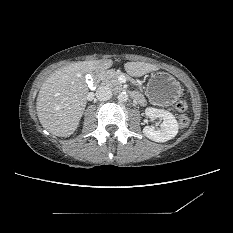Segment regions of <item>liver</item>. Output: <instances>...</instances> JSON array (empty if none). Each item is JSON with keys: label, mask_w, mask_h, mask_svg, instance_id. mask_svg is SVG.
<instances>
[{"label": "liver", "mask_w": 233, "mask_h": 233, "mask_svg": "<svg viewBox=\"0 0 233 233\" xmlns=\"http://www.w3.org/2000/svg\"><path fill=\"white\" fill-rule=\"evenodd\" d=\"M112 65L111 59L75 62L49 76L42 84L36 102L37 116L43 128L59 137L73 134L84 113L89 93L84 75L103 73ZM124 68L135 77L159 69L145 62H127Z\"/></svg>", "instance_id": "6515ba94"}]
</instances>
